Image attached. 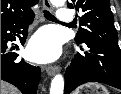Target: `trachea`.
<instances>
[{
	"label": "trachea",
	"mask_w": 121,
	"mask_h": 94,
	"mask_svg": "<svg viewBox=\"0 0 121 94\" xmlns=\"http://www.w3.org/2000/svg\"><path fill=\"white\" fill-rule=\"evenodd\" d=\"M44 13V17L48 20H51V21H58L54 15H52L50 12H48L47 10H44L43 11Z\"/></svg>",
	"instance_id": "obj_1"
}]
</instances>
